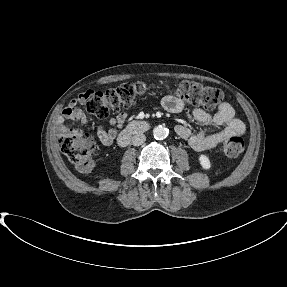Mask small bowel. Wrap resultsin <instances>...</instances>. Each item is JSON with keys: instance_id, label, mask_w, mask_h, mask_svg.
Instances as JSON below:
<instances>
[{"instance_id": "c3829d8e", "label": "small bowel", "mask_w": 287, "mask_h": 287, "mask_svg": "<svg viewBox=\"0 0 287 287\" xmlns=\"http://www.w3.org/2000/svg\"><path fill=\"white\" fill-rule=\"evenodd\" d=\"M90 96V92H85L73 98L70 103L63 109L62 114L56 119V129L60 135H64L73 131L66 127V120L87 123L88 118L85 113L79 108ZM162 106L170 113H180L185 108V103L174 95H167L162 99ZM194 119L204 126V129L192 133L191 129L185 124L175 126L176 134L187 140L190 147L196 151H203L217 147L224 139L243 134L245 131L244 123L235 117L233 107L223 102L219 105L214 113H208L202 109L193 111ZM127 120V114L120 112L116 116L108 119L109 128L100 124L97 127V137L102 144L111 145Z\"/></svg>"}]
</instances>
